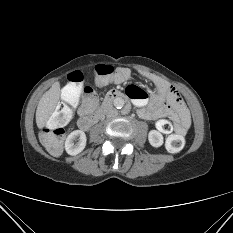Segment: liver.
Returning a JSON list of instances; mask_svg holds the SVG:
<instances>
[{
  "label": "liver",
  "mask_w": 233,
  "mask_h": 233,
  "mask_svg": "<svg viewBox=\"0 0 233 233\" xmlns=\"http://www.w3.org/2000/svg\"><path fill=\"white\" fill-rule=\"evenodd\" d=\"M60 93V83L55 82L39 100L36 110V124L39 129H42L45 126L50 116L53 114L60 99Z\"/></svg>",
  "instance_id": "1"
}]
</instances>
